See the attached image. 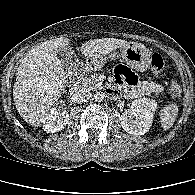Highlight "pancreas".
Masks as SVG:
<instances>
[{
  "mask_svg": "<svg viewBox=\"0 0 195 195\" xmlns=\"http://www.w3.org/2000/svg\"><path fill=\"white\" fill-rule=\"evenodd\" d=\"M81 84L83 87L88 88L89 90H98L103 88L96 74H93L90 77L86 76L82 78Z\"/></svg>",
  "mask_w": 195,
  "mask_h": 195,
  "instance_id": "pancreas-1",
  "label": "pancreas"
}]
</instances>
